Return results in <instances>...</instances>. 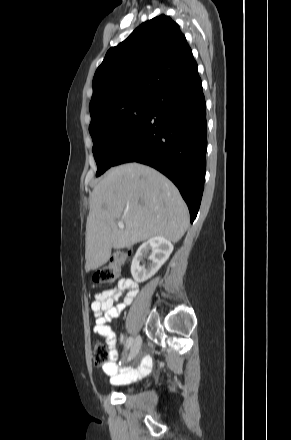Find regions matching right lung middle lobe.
Wrapping results in <instances>:
<instances>
[{
	"label": "right lung middle lobe",
	"mask_w": 291,
	"mask_h": 440,
	"mask_svg": "<svg viewBox=\"0 0 291 440\" xmlns=\"http://www.w3.org/2000/svg\"><path fill=\"white\" fill-rule=\"evenodd\" d=\"M154 96H137L97 106L90 111L89 132L97 163L96 176L109 169L120 150L144 122Z\"/></svg>",
	"instance_id": "1"
}]
</instances>
